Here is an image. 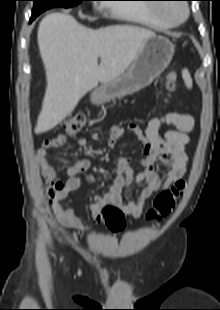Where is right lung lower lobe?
I'll use <instances>...</instances> for the list:
<instances>
[{"label":"right lung lower lobe","mask_w":220,"mask_h":310,"mask_svg":"<svg viewBox=\"0 0 220 310\" xmlns=\"http://www.w3.org/2000/svg\"><path fill=\"white\" fill-rule=\"evenodd\" d=\"M38 15H32L31 19H30V23L37 17Z\"/></svg>","instance_id":"1"}]
</instances>
